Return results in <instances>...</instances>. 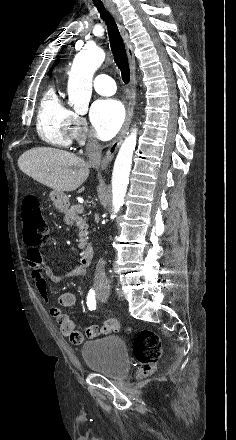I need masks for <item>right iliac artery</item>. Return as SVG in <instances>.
I'll use <instances>...</instances> for the list:
<instances>
[{
	"instance_id": "obj_1",
	"label": "right iliac artery",
	"mask_w": 236,
	"mask_h": 440,
	"mask_svg": "<svg viewBox=\"0 0 236 440\" xmlns=\"http://www.w3.org/2000/svg\"><path fill=\"white\" fill-rule=\"evenodd\" d=\"M87 306L89 310H95L96 309V293L94 289H90L88 295H87Z\"/></svg>"
}]
</instances>
